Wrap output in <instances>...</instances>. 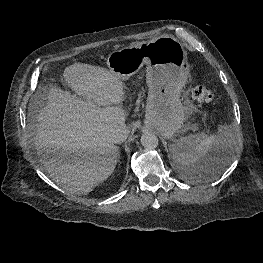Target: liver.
Returning a JSON list of instances; mask_svg holds the SVG:
<instances>
[{
	"label": "liver",
	"instance_id": "1",
	"mask_svg": "<svg viewBox=\"0 0 263 263\" xmlns=\"http://www.w3.org/2000/svg\"><path fill=\"white\" fill-rule=\"evenodd\" d=\"M63 76L75 94L49 89L37 116L35 147L57 185L87 195L116 167L118 151L111 133L126 126L124 110L115 106L124 99V85L109 70L86 63H73Z\"/></svg>",
	"mask_w": 263,
	"mask_h": 263
}]
</instances>
